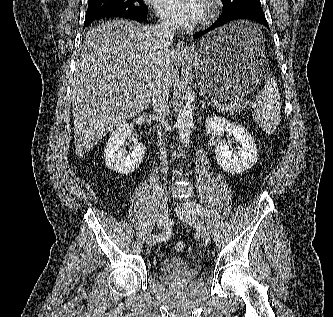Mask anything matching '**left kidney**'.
I'll return each instance as SVG.
<instances>
[{
    "instance_id": "left-kidney-1",
    "label": "left kidney",
    "mask_w": 333,
    "mask_h": 317,
    "mask_svg": "<svg viewBox=\"0 0 333 317\" xmlns=\"http://www.w3.org/2000/svg\"><path fill=\"white\" fill-rule=\"evenodd\" d=\"M205 128L206 132L213 137H220L228 132L241 144L237 153L230 150V145L227 143L219 142L216 145V160L224 171L240 174L256 164L258 159L257 145L244 126L231 123L220 116H211L206 119Z\"/></svg>"
}]
</instances>
